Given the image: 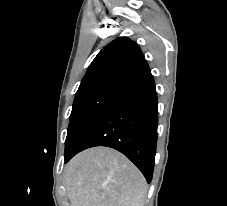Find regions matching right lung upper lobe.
<instances>
[{
  "label": "right lung upper lobe",
  "instance_id": "obj_1",
  "mask_svg": "<svg viewBox=\"0 0 227 206\" xmlns=\"http://www.w3.org/2000/svg\"><path fill=\"white\" fill-rule=\"evenodd\" d=\"M149 73L148 63L137 43L127 37H119L98 53L79 88L109 79L131 82Z\"/></svg>",
  "mask_w": 227,
  "mask_h": 206
}]
</instances>
